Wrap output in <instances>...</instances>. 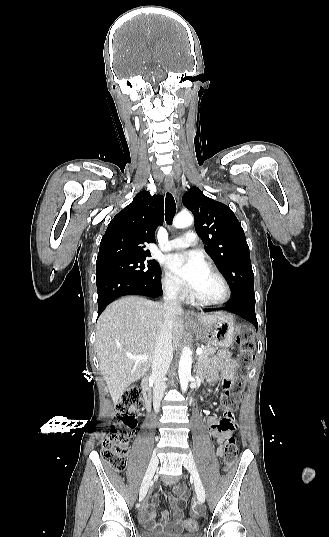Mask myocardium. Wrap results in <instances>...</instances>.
<instances>
[{"mask_svg": "<svg viewBox=\"0 0 329 537\" xmlns=\"http://www.w3.org/2000/svg\"><path fill=\"white\" fill-rule=\"evenodd\" d=\"M207 270H209L220 282L222 289H223L222 296L217 299H204V298H201L192 294V299L197 304L205 305V306H217V305L226 303L231 297V288H230L228 281L223 276V274L214 266L207 265Z\"/></svg>", "mask_w": 329, "mask_h": 537, "instance_id": "f54148a6", "label": "myocardium"}]
</instances>
